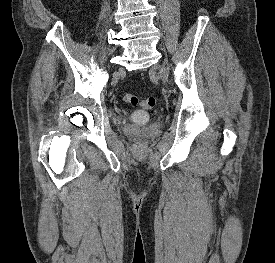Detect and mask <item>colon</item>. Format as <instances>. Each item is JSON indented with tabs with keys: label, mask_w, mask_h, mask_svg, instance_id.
Returning <instances> with one entry per match:
<instances>
[{
	"label": "colon",
	"mask_w": 275,
	"mask_h": 263,
	"mask_svg": "<svg viewBox=\"0 0 275 263\" xmlns=\"http://www.w3.org/2000/svg\"><path fill=\"white\" fill-rule=\"evenodd\" d=\"M122 99L131 106H141L144 109H152L156 104V100L153 97L140 100L136 95L130 93L124 94Z\"/></svg>",
	"instance_id": "obj_1"
}]
</instances>
